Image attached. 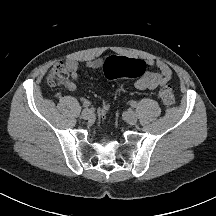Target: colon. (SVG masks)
<instances>
[{"label": "colon", "mask_w": 216, "mask_h": 216, "mask_svg": "<svg viewBox=\"0 0 216 216\" xmlns=\"http://www.w3.org/2000/svg\"><path fill=\"white\" fill-rule=\"evenodd\" d=\"M146 65L141 60L129 59L125 57H111L105 65V76L108 80H114L119 77H140L145 72ZM67 70L63 62H57L48 75V84L51 87L62 85L67 78ZM158 96L166 106H172L175 102L173 90L169 86H162L159 89ZM110 111V103L104 101L98 109V118L103 122Z\"/></svg>", "instance_id": "obj_1"}]
</instances>
